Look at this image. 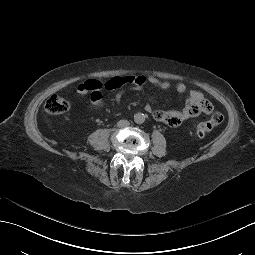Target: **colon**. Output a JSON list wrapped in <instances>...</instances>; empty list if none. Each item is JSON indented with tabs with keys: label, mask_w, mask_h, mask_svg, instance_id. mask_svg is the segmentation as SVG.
Here are the masks:
<instances>
[{
	"label": "colon",
	"mask_w": 255,
	"mask_h": 255,
	"mask_svg": "<svg viewBox=\"0 0 255 255\" xmlns=\"http://www.w3.org/2000/svg\"><path fill=\"white\" fill-rule=\"evenodd\" d=\"M71 108V102L58 95H52L45 103V110L52 115H59L68 112ZM224 116L220 112H215L209 119L201 120L194 126V134L203 137L211 132L216 126L220 125Z\"/></svg>",
	"instance_id": "5ec220e1"
}]
</instances>
